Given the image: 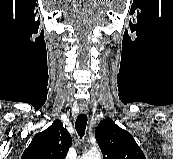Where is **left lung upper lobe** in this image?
I'll return each instance as SVG.
<instances>
[{"label":"left lung upper lobe","instance_id":"5c2ea615","mask_svg":"<svg viewBox=\"0 0 173 159\" xmlns=\"http://www.w3.org/2000/svg\"><path fill=\"white\" fill-rule=\"evenodd\" d=\"M95 138L103 153V159H146L133 136L110 118L100 122Z\"/></svg>","mask_w":173,"mask_h":159}]
</instances>
